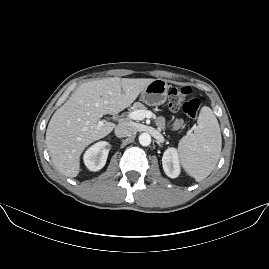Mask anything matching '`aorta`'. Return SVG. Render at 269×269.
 I'll return each instance as SVG.
<instances>
[{
	"label": "aorta",
	"mask_w": 269,
	"mask_h": 269,
	"mask_svg": "<svg viewBox=\"0 0 269 269\" xmlns=\"http://www.w3.org/2000/svg\"><path fill=\"white\" fill-rule=\"evenodd\" d=\"M139 142L142 146H149L151 143V136L149 133H142L139 136Z\"/></svg>",
	"instance_id": "obj_1"
}]
</instances>
